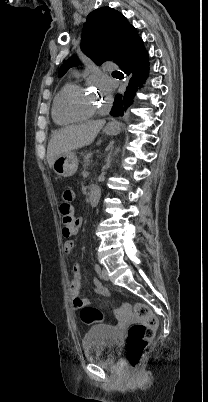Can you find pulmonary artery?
Listing matches in <instances>:
<instances>
[{"mask_svg": "<svg viewBox=\"0 0 208 402\" xmlns=\"http://www.w3.org/2000/svg\"><path fill=\"white\" fill-rule=\"evenodd\" d=\"M104 69L106 70V71H114V70H116L117 69V66L116 65H114L113 63H112V61L111 60H105L104 61Z\"/></svg>", "mask_w": 208, "mask_h": 402, "instance_id": "pulmonary-artery-1", "label": "pulmonary artery"}]
</instances>
